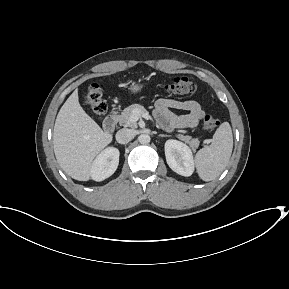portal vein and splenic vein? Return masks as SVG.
<instances>
[{
    "label": "portal vein and splenic vein",
    "instance_id": "obj_1",
    "mask_svg": "<svg viewBox=\"0 0 289 289\" xmlns=\"http://www.w3.org/2000/svg\"><path fill=\"white\" fill-rule=\"evenodd\" d=\"M141 117V113L140 111H133V114L131 115V121L136 122L139 120V118Z\"/></svg>",
    "mask_w": 289,
    "mask_h": 289
}]
</instances>
